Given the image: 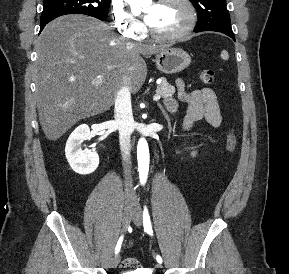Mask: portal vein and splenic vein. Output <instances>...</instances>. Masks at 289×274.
<instances>
[{"label":"portal vein and splenic vein","mask_w":289,"mask_h":274,"mask_svg":"<svg viewBox=\"0 0 289 274\" xmlns=\"http://www.w3.org/2000/svg\"><path fill=\"white\" fill-rule=\"evenodd\" d=\"M160 98H161V96L159 94H155L153 97V100L158 101V100H160Z\"/></svg>","instance_id":"portal-vein-and-splenic-vein-1"}]
</instances>
